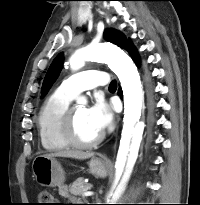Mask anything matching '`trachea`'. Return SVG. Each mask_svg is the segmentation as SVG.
<instances>
[{"label": "trachea", "instance_id": "trachea-1", "mask_svg": "<svg viewBox=\"0 0 200 205\" xmlns=\"http://www.w3.org/2000/svg\"><path fill=\"white\" fill-rule=\"evenodd\" d=\"M109 88H110V89H115V88H117V83H116L115 80H113V81L110 83Z\"/></svg>", "mask_w": 200, "mask_h": 205}]
</instances>
